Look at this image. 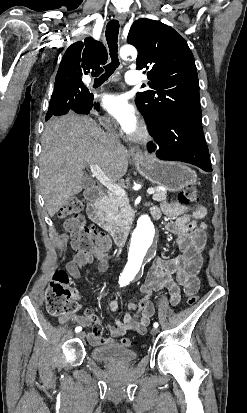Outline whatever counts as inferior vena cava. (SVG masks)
<instances>
[{"instance_id":"inferior-vena-cava-1","label":"inferior vena cava","mask_w":247,"mask_h":413,"mask_svg":"<svg viewBox=\"0 0 247 413\" xmlns=\"http://www.w3.org/2000/svg\"><path fill=\"white\" fill-rule=\"evenodd\" d=\"M106 138L108 142H120L118 132L115 128H109L108 132H106Z\"/></svg>"}]
</instances>
